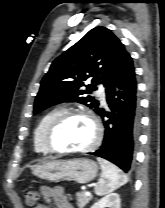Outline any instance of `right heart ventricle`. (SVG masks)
<instances>
[{
  "label": "right heart ventricle",
  "instance_id": "obj_1",
  "mask_svg": "<svg viewBox=\"0 0 165 208\" xmlns=\"http://www.w3.org/2000/svg\"><path fill=\"white\" fill-rule=\"evenodd\" d=\"M64 109L56 107L45 113L37 123L33 133V147L36 153L49 154L51 151L46 147L44 143V133L50 122Z\"/></svg>",
  "mask_w": 165,
  "mask_h": 208
}]
</instances>
